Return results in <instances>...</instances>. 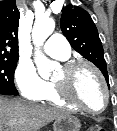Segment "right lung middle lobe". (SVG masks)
<instances>
[{"label": "right lung middle lobe", "mask_w": 117, "mask_h": 131, "mask_svg": "<svg viewBox=\"0 0 117 131\" xmlns=\"http://www.w3.org/2000/svg\"><path fill=\"white\" fill-rule=\"evenodd\" d=\"M17 61V57L0 56V94L18 95L13 80Z\"/></svg>", "instance_id": "right-lung-middle-lobe-1"}]
</instances>
